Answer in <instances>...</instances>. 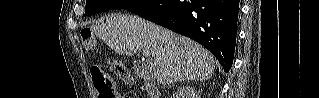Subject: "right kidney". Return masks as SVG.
Wrapping results in <instances>:
<instances>
[{
	"mask_svg": "<svg viewBox=\"0 0 319 98\" xmlns=\"http://www.w3.org/2000/svg\"><path fill=\"white\" fill-rule=\"evenodd\" d=\"M192 93H193V94H192L193 96H196V97H198V96H197V94H195L194 92H192Z\"/></svg>",
	"mask_w": 319,
	"mask_h": 98,
	"instance_id": "right-kidney-1",
	"label": "right kidney"
}]
</instances>
